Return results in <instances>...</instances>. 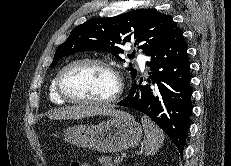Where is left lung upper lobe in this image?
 <instances>
[{
  "label": "left lung upper lobe",
  "mask_w": 231,
  "mask_h": 166,
  "mask_svg": "<svg viewBox=\"0 0 231 166\" xmlns=\"http://www.w3.org/2000/svg\"><path fill=\"white\" fill-rule=\"evenodd\" d=\"M176 27L170 15L154 9H137L116 17L91 19L75 27L67 40L58 46L50 67L62 57L82 51H105L118 57L123 53L121 45L125 43L139 45L138 48L150 56L167 41ZM127 69L135 78L137 71Z\"/></svg>",
  "instance_id": "left-lung-upper-lobe-1"
}]
</instances>
